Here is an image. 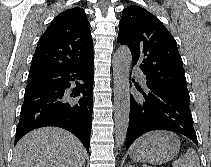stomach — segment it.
<instances>
[{
    "label": "stomach",
    "mask_w": 211,
    "mask_h": 167,
    "mask_svg": "<svg viewBox=\"0 0 211 167\" xmlns=\"http://www.w3.org/2000/svg\"><path fill=\"white\" fill-rule=\"evenodd\" d=\"M180 140L172 132L154 131L139 138L130 148L133 160L162 164L172 160L179 152Z\"/></svg>",
    "instance_id": "stomach-1"
}]
</instances>
